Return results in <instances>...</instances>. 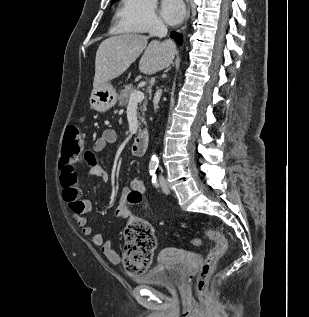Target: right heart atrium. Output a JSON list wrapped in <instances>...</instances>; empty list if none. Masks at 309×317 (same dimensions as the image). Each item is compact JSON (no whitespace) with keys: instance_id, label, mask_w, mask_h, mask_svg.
I'll use <instances>...</instances> for the list:
<instances>
[{"instance_id":"obj_1","label":"right heart atrium","mask_w":309,"mask_h":317,"mask_svg":"<svg viewBox=\"0 0 309 317\" xmlns=\"http://www.w3.org/2000/svg\"><path fill=\"white\" fill-rule=\"evenodd\" d=\"M118 16L121 26L129 32L151 33L164 28L156 0H123Z\"/></svg>"}]
</instances>
